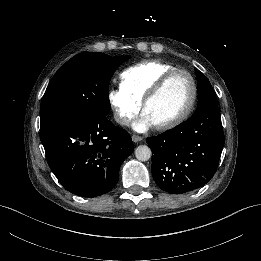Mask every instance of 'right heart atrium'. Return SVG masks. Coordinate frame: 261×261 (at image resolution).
Masks as SVG:
<instances>
[{
	"label": "right heart atrium",
	"instance_id": "1",
	"mask_svg": "<svg viewBox=\"0 0 261 261\" xmlns=\"http://www.w3.org/2000/svg\"><path fill=\"white\" fill-rule=\"evenodd\" d=\"M108 102L114 111L116 121L122 126H130L141 109V103L121 87L109 91Z\"/></svg>",
	"mask_w": 261,
	"mask_h": 261
}]
</instances>
